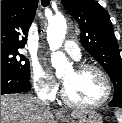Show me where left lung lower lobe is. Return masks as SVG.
<instances>
[{
  "label": "left lung lower lobe",
  "mask_w": 122,
  "mask_h": 123,
  "mask_svg": "<svg viewBox=\"0 0 122 123\" xmlns=\"http://www.w3.org/2000/svg\"><path fill=\"white\" fill-rule=\"evenodd\" d=\"M109 106L122 108V96L113 97V100L109 103Z\"/></svg>",
  "instance_id": "obj_1"
}]
</instances>
